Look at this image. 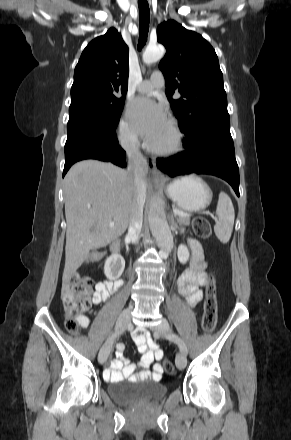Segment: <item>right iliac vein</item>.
I'll use <instances>...</instances> for the list:
<instances>
[{"label":"right iliac vein","instance_id":"1","mask_svg":"<svg viewBox=\"0 0 291 440\" xmlns=\"http://www.w3.org/2000/svg\"><path fill=\"white\" fill-rule=\"evenodd\" d=\"M131 308H127L125 310H123L121 312V314L119 315L118 319H117V323H116V329H123L124 327H126V325L128 324L129 320H130V313H131ZM113 344V340L108 341L106 344H104L102 346V348L99 351L98 354V361L103 364L108 356L109 353L111 351V347Z\"/></svg>","mask_w":291,"mask_h":440}]
</instances>
